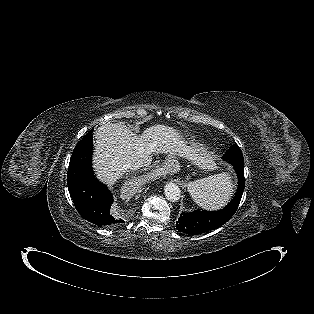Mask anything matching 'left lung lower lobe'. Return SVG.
Here are the masks:
<instances>
[{
  "mask_svg": "<svg viewBox=\"0 0 314 314\" xmlns=\"http://www.w3.org/2000/svg\"><path fill=\"white\" fill-rule=\"evenodd\" d=\"M232 165L238 175V189L232 202L219 211L183 212L176 222V228L179 232L200 234L209 230H214L231 219L238 208L245 187L243 163H234Z\"/></svg>",
  "mask_w": 314,
  "mask_h": 314,
  "instance_id": "left-lung-lower-lobe-1",
  "label": "left lung lower lobe"
}]
</instances>
